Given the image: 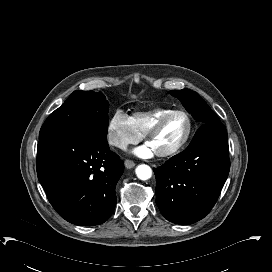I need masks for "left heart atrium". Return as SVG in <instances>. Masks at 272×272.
<instances>
[{
    "mask_svg": "<svg viewBox=\"0 0 272 272\" xmlns=\"http://www.w3.org/2000/svg\"><path fill=\"white\" fill-rule=\"evenodd\" d=\"M134 154L142 158H150L155 154V151L153 150L149 143H146L136 148L134 150Z\"/></svg>",
    "mask_w": 272,
    "mask_h": 272,
    "instance_id": "39dd6f15",
    "label": "left heart atrium"
}]
</instances>
